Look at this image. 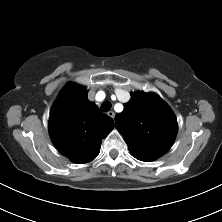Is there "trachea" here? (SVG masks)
<instances>
[{
	"mask_svg": "<svg viewBox=\"0 0 222 222\" xmlns=\"http://www.w3.org/2000/svg\"><path fill=\"white\" fill-rule=\"evenodd\" d=\"M111 109V103L109 101H104L102 104H101V110L103 112H108L109 110Z\"/></svg>",
	"mask_w": 222,
	"mask_h": 222,
	"instance_id": "1",
	"label": "trachea"
}]
</instances>
